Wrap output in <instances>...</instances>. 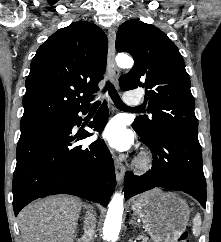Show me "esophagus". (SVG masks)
<instances>
[{"mask_svg":"<svg viewBox=\"0 0 221 242\" xmlns=\"http://www.w3.org/2000/svg\"><path fill=\"white\" fill-rule=\"evenodd\" d=\"M115 39V30L110 28L108 31L109 48L107 68L110 79L116 86H118L119 71L115 64ZM115 174L117 182L121 184L125 175V166L117 158L115 159Z\"/></svg>","mask_w":221,"mask_h":242,"instance_id":"34e87169","label":"esophagus"}]
</instances>
